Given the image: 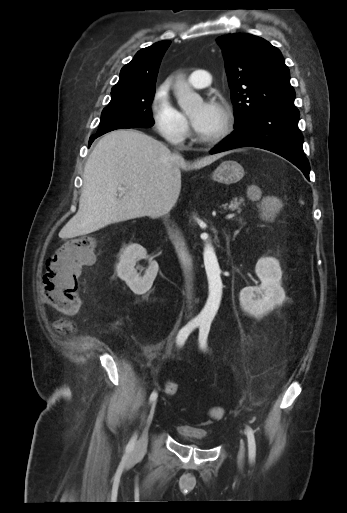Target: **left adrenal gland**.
Segmentation results:
<instances>
[{
	"label": "left adrenal gland",
	"mask_w": 347,
	"mask_h": 513,
	"mask_svg": "<svg viewBox=\"0 0 347 513\" xmlns=\"http://www.w3.org/2000/svg\"><path fill=\"white\" fill-rule=\"evenodd\" d=\"M240 232V229L236 230L234 232V235H233V240H235L236 236L238 235V233Z\"/></svg>",
	"instance_id": "left-adrenal-gland-1"
}]
</instances>
